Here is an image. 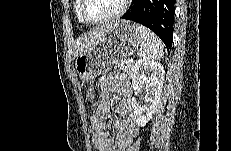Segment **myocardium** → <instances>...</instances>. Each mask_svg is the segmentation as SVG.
Listing matches in <instances>:
<instances>
[{
  "instance_id": "obj_1",
  "label": "myocardium",
  "mask_w": 231,
  "mask_h": 151,
  "mask_svg": "<svg viewBox=\"0 0 231 151\" xmlns=\"http://www.w3.org/2000/svg\"><path fill=\"white\" fill-rule=\"evenodd\" d=\"M129 3H130V0H123L121 8L116 13H114L112 15H109V16H106L104 18H100V19H91V18H89L85 14L86 0H80L79 12H80L81 18L86 23H90V24H102V23L111 22V21H114V20L120 18L126 12Z\"/></svg>"
}]
</instances>
